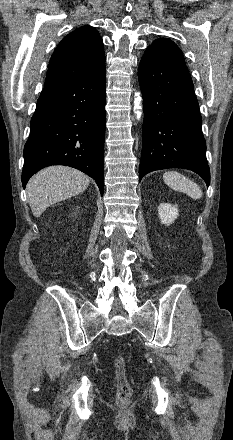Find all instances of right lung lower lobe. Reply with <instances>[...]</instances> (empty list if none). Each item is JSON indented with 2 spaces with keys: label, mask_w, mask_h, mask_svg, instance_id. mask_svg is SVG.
<instances>
[{
  "label": "right lung lower lobe",
  "mask_w": 233,
  "mask_h": 440,
  "mask_svg": "<svg viewBox=\"0 0 233 440\" xmlns=\"http://www.w3.org/2000/svg\"><path fill=\"white\" fill-rule=\"evenodd\" d=\"M106 68L69 84L44 87L24 147L22 184L50 165L74 167L104 190Z\"/></svg>",
  "instance_id": "98d812e1"
}]
</instances>
